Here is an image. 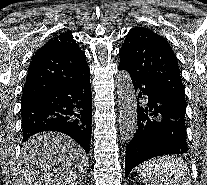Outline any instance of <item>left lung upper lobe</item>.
I'll use <instances>...</instances> for the list:
<instances>
[{"instance_id":"1","label":"left lung upper lobe","mask_w":207,"mask_h":185,"mask_svg":"<svg viewBox=\"0 0 207 185\" xmlns=\"http://www.w3.org/2000/svg\"><path fill=\"white\" fill-rule=\"evenodd\" d=\"M119 66L143 77L185 105V89L177 59L168 42L148 28H132L119 51Z\"/></svg>"}]
</instances>
